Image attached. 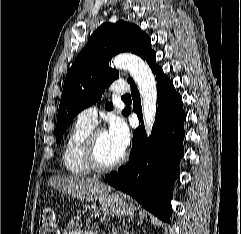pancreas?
<instances>
[{
	"label": "pancreas",
	"instance_id": "cf45deb5",
	"mask_svg": "<svg viewBox=\"0 0 241 234\" xmlns=\"http://www.w3.org/2000/svg\"><path fill=\"white\" fill-rule=\"evenodd\" d=\"M86 234H94V233H92V232H87Z\"/></svg>",
	"mask_w": 241,
	"mask_h": 234
}]
</instances>
